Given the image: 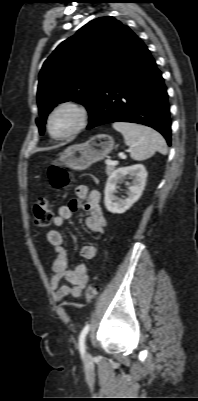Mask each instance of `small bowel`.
Instances as JSON below:
<instances>
[{
	"instance_id": "1",
	"label": "small bowel",
	"mask_w": 198,
	"mask_h": 401,
	"mask_svg": "<svg viewBox=\"0 0 198 401\" xmlns=\"http://www.w3.org/2000/svg\"><path fill=\"white\" fill-rule=\"evenodd\" d=\"M76 195V199H72L67 204L59 207L57 215L53 218L55 228L47 233V240L52 245L56 255L49 277L50 287L53 290L56 302H62L67 298L76 299L80 297L89 278L88 270L84 263L71 268L67 251L64 247V237L59 229L82 206V202H84L83 206L88 212L85 220L87 229L94 234H101L106 227V219L100 206V192L90 190L87 186L79 185L76 188ZM80 254L86 260H93L97 256V248L94 245H84L80 250Z\"/></svg>"
}]
</instances>
